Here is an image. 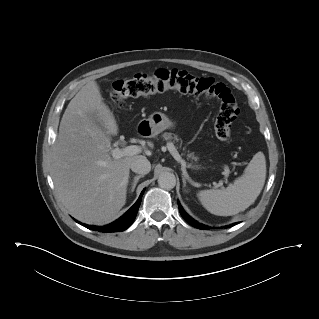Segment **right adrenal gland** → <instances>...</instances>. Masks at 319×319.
<instances>
[{"label":"right adrenal gland","mask_w":319,"mask_h":319,"mask_svg":"<svg viewBox=\"0 0 319 319\" xmlns=\"http://www.w3.org/2000/svg\"><path fill=\"white\" fill-rule=\"evenodd\" d=\"M142 177H144V175H138V176L134 177L133 182H132L131 192H134L135 187H136L139 179L142 178Z\"/></svg>","instance_id":"right-adrenal-gland-1"}]
</instances>
